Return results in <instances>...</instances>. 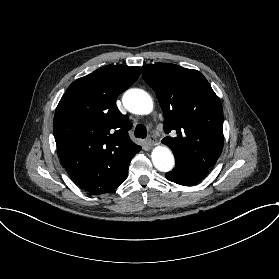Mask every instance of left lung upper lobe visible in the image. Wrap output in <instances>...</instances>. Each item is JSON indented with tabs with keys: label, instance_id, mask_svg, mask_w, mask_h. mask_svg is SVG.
Instances as JSON below:
<instances>
[{
	"label": "left lung upper lobe",
	"instance_id": "1",
	"mask_svg": "<svg viewBox=\"0 0 279 279\" xmlns=\"http://www.w3.org/2000/svg\"><path fill=\"white\" fill-rule=\"evenodd\" d=\"M164 113V130L177 136L162 140L176 163L210 170L223 149V109L206 78L197 70L171 63L142 67Z\"/></svg>",
	"mask_w": 279,
	"mask_h": 279
}]
</instances>
